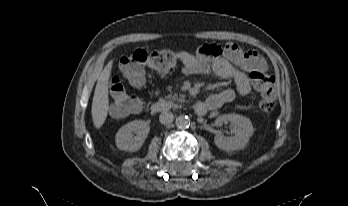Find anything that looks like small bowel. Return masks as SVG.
I'll return each mask as SVG.
<instances>
[{"mask_svg":"<svg viewBox=\"0 0 348 206\" xmlns=\"http://www.w3.org/2000/svg\"><path fill=\"white\" fill-rule=\"evenodd\" d=\"M179 54L183 63V73L196 75L212 71L216 76L234 82L235 89H225L208 99L210 110H217L226 104L245 98L251 91L245 71L266 69L265 60L257 52L246 49L236 42H229L224 47L203 44L195 53Z\"/></svg>","mask_w":348,"mask_h":206,"instance_id":"small-bowel-1","label":"small bowel"}]
</instances>
